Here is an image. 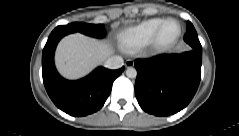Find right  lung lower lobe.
<instances>
[{"label": "right lung lower lobe", "mask_w": 239, "mask_h": 136, "mask_svg": "<svg viewBox=\"0 0 239 136\" xmlns=\"http://www.w3.org/2000/svg\"><path fill=\"white\" fill-rule=\"evenodd\" d=\"M65 36L57 28L50 34L43 49L42 75L48 95L54 104L71 116H86L99 110L108 98L113 81L124 67L109 70L99 67L78 81L62 78L54 66V52L59 40Z\"/></svg>", "instance_id": "right-lung-lower-lobe-1"}]
</instances>
